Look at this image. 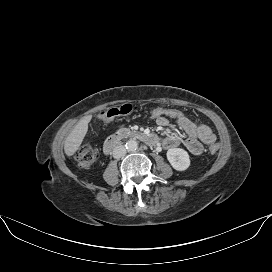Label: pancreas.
<instances>
[{
  "label": "pancreas",
  "mask_w": 272,
  "mask_h": 272,
  "mask_svg": "<svg viewBox=\"0 0 272 272\" xmlns=\"http://www.w3.org/2000/svg\"><path fill=\"white\" fill-rule=\"evenodd\" d=\"M125 131H126L127 133H130V132H131L130 129H125Z\"/></svg>",
  "instance_id": "obj_1"
}]
</instances>
